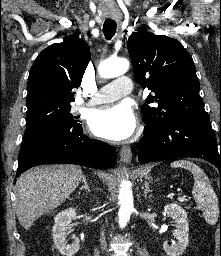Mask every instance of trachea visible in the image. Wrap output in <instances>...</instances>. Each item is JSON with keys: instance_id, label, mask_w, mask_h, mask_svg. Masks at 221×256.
<instances>
[{"instance_id": "obj_1", "label": "trachea", "mask_w": 221, "mask_h": 256, "mask_svg": "<svg viewBox=\"0 0 221 256\" xmlns=\"http://www.w3.org/2000/svg\"><path fill=\"white\" fill-rule=\"evenodd\" d=\"M103 32L107 40H110L116 32V22L113 20H106L103 25Z\"/></svg>"}]
</instances>
